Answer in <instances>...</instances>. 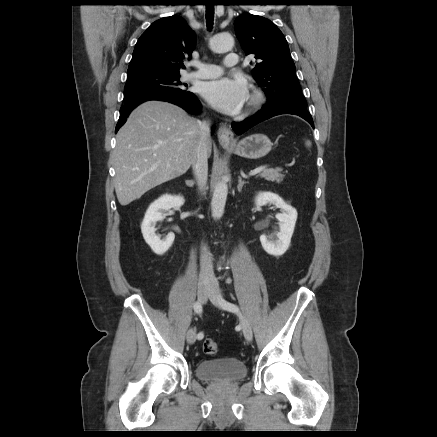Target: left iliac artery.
Segmentation results:
<instances>
[{
	"label": "left iliac artery",
	"instance_id": "left-iliac-artery-1",
	"mask_svg": "<svg viewBox=\"0 0 437 437\" xmlns=\"http://www.w3.org/2000/svg\"><path fill=\"white\" fill-rule=\"evenodd\" d=\"M219 303L222 306V308L232 311V312H236L238 311V307L230 302H227L226 300H224L221 296L219 297Z\"/></svg>",
	"mask_w": 437,
	"mask_h": 437
}]
</instances>
